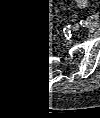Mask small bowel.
<instances>
[{
  "instance_id": "1",
  "label": "small bowel",
  "mask_w": 100,
  "mask_h": 118,
  "mask_svg": "<svg viewBox=\"0 0 100 118\" xmlns=\"http://www.w3.org/2000/svg\"><path fill=\"white\" fill-rule=\"evenodd\" d=\"M77 7L80 9H84L88 7L89 0H74Z\"/></svg>"
}]
</instances>
